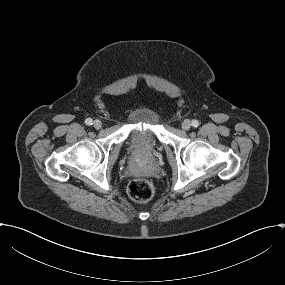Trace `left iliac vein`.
<instances>
[{
    "label": "left iliac vein",
    "mask_w": 285,
    "mask_h": 285,
    "mask_svg": "<svg viewBox=\"0 0 285 285\" xmlns=\"http://www.w3.org/2000/svg\"><path fill=\"white\" fill-rule=\"evenodd\" d=\"M191 121L189 119H185L183 122H182V127L184 130H189L191 128Z\"/></svg>",
    "instance_id": "1"
}]
</instances>
